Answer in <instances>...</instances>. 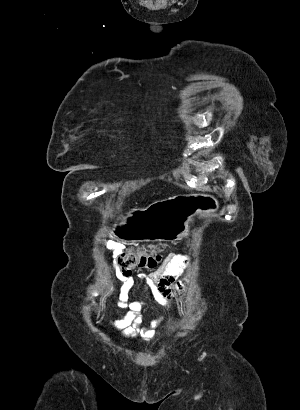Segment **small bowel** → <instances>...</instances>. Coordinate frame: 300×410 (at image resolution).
Returning <instances> with one entry per match:
<instances>
[{"label": "small bowel", "instance_id": "obj_1", "mask_svg": "<svg viewBox=\"0 0 300 410\" xmlns=\"http://www.w3.org/2000/svg\"><path fill=\"white\" fill-rule=\"evenodd\" d=\"M190 262L189 254H169L158 269L150 274L141 275L139 279L158 303L169 305L174 292L183 293L187 288V282L182 278V274ZM116 276L123 283L118 307L129 310V315L126 318L109 320L108 325L112 329L119 330L123 339L139 338L142 342L148 343L157 336L163 318H158L149 326L142 327V312L146 303L128 301V291L135 285L136 280L119 272ZM91 293L95 294L96 290H92ZM181 310L180 307L179 311Z\"/></svg>", "mask_w": 300, "mask_h": 410}]
</instances>
